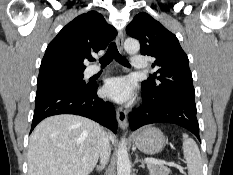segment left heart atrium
Returning <instances> with one entry per match:
<instances>
[{
	"instance_id": "obj_1",
	"label": "left heart atrium",
	"mask_w": 233,
	"mask_h": 175,
	"mask_svg": "<svg viewBox=\"0 0 233 175\" xmlns=\"http://www.w3.org/2000/svg\"><path fill=\"white\" fill-rule=\"evenodd\" d=\"M103 92L117 102L126 103L134 96L133 83L127 77L111 78L104 85Z\"/></svg>"
}]
</instances>
